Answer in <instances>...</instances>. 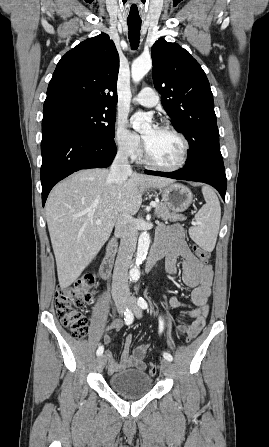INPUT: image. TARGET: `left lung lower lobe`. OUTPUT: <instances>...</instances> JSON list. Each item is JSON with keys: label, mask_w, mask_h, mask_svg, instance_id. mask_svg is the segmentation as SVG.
<instances>
[{"label": "left lung lower lobe", "mask_w": 269, "mask_h": 447, "mask_svg": "<svg viewBox=\"0 0 269 447\" xmlns=\"http://www.w3.org/2000/svg\"><path fill=\"white\" fill-rule=\"evenodd\" d=\"M145 173L179 180L204 182L216 188L221 197L225 199L227 180L222 157L208 158L194 166H184L182 169L174 172L145 170Z\"/></svg>", "instance_id": "left-lung-lower-lobe-1"}]
</instances>
